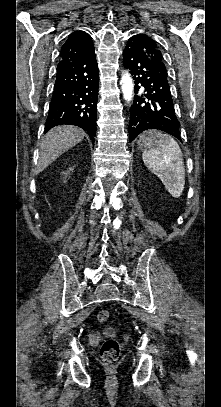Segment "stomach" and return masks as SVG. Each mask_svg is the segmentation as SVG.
<instances>
[{"instance_id": "1", "label": "stomach", "mask_w": 221, "mask_h": 407, "mask_svg": "<svg viewBox=\"0 0 221 407\" xmlns=\"http://www.w3.org/2000/svg\"><path fill=\"white\" fill-rule=\"evenodd\" d=\"M160 133L156 131H147L143 133L137 142L140 149H148L157 145Z\"/></svg>"}]
</instances>
